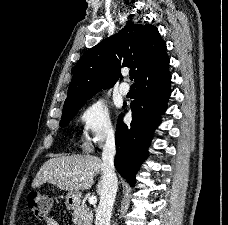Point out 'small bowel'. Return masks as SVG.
Segmentation results:
<instances>
[{
	"label": "small bowel",
	"instance_id": "1",
	"mask_svg": "<svg viewBox=\"0 0 228 225\" xmlns=\"http://www.w3.org/2000/svg\"><path fill=\"white\" fill-rule=\"evenodd\" d=\"M45 223L46 225H59L53 217H47Z\"/></svg>",
	"mask_w": 228,
	"mask_h": 225
}]
</instances>
